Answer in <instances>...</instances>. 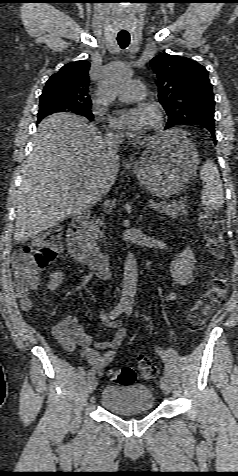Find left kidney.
Segmentation results:
<instances>
[{"mask_svg": "<svg viewBox=\"0 0 238 476\" xmlns=\"http://www.w3.org/2000/svg\"><path fill=\"white\" fill-rule=\"evenodd\" d=\"M195 261L194 254L190 248H186L174 258L170 264V271L176 283L187 285L192 276Z\"/></svg>", "mask_w": 238, "mask_h": 476, "instance_id": "left-kidney-1", "label": "left kidney"}]
</instances>
